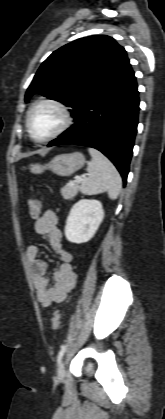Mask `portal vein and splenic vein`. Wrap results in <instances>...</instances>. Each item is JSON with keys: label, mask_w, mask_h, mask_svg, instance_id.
<instances>
[{"label": "portal vein and splenic vein", "mask_w": 165, "mask_h": 419, "mask_svg": "<svg viewBox=\"0 0 165 419\" xmlns=\"http://www.w3.org/2000/svg\"><path fill=\"white\" fill-rule=\"evenodd\" d=\"M83 178H85V175H83V176H77V177H75V181L74 182L80 183L83 180ZM69 184H73V183L70 182Z\"/></svg>", "instance_id": "18ae733b"}]
</instances>
